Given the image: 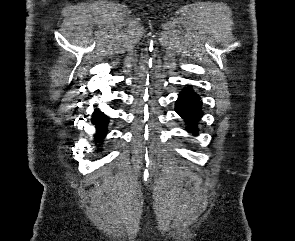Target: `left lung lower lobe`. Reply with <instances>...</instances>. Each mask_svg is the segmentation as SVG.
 Returning <instances> with one entry per match:
<instances>
[{"label":"left lung lower lobe","mask_w":295,"mask_h":241,"mask_svg":"<svg viewBox=\"0 0 295 241\" xmlns=\"http://www.w3.org/2000/svg\"><path fill=\"white\" fill-rule=\"evenodd\" d=\"M201 106L202 102L199 95L190 87H186L179 94L178 100L175 103L176 112L187 121V131L193 134H197L196 124L203 115Z\"/></svg>","instance_id":"left-lung-lower-lobe-1"}]
</instances>
